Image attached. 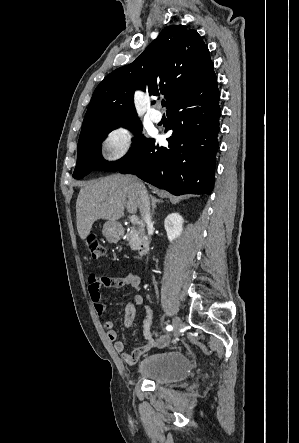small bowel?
Wrapping results in <instances>:
<instances>
[{
    "instance_id": "c3829d8e",
    "label": "small bowel",
    "mask_w": 299,
    "mask_h": 443,
    "mask_svg": "<svg viewBox=\"0 0 299 443\" xmlns=\"http://www.w3.org/2000/svg\"><path fill=\"white\" fill-rule=\"evenodd\" d=\"M141 285V278L133 273L116 276H90L88 290L97 314L104 316L107 313V305L102 295L103 288H121L124 286H130L140 290ZM139 305H143L145 308V316L142 320L144 342L133 351L125 352L124 343L117 339V333L110 320H106L104 323L107 337L113 342L114 350L121 355L123 362L130 366L134 365L139 357L145 352L153 348H164L170 343L169 335H159L152 330L153 310L149 305L144 303V299L140 294H137L134 297L133 302L129 301L125 305L123 320L124 327L130 328L134 324L137 318L136 306Z\"/></svg>"
}]
</instances>
